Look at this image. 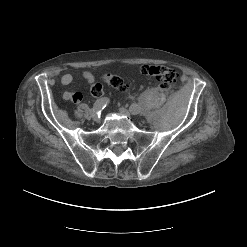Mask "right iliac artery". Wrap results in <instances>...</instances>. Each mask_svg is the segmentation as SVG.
<instances>
[{"label": "right iliac artery", "mask_w": 247, "mask_h": 247, "mask_svg": "<svg viewBox=\"0 0 247 247\" xmlns=\"http://www.w3.org/2000/svg\"><path fill=\"white\" fill-rule=\"evenodd\" d=\"M109 104V99L108 98H100L98 99L94 105L92 110L96 112V114H99L102 109H104L107 105Z\"/></svg>", "instance_id": "obj_1"}]
</instances>
